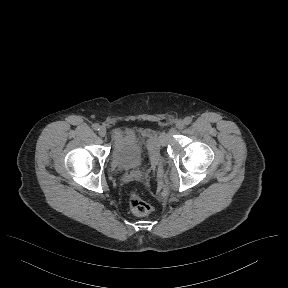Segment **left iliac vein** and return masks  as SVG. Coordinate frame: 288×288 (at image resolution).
Returning <instances> with one entry per match:
<instances>
[{"label": "left iliac vein", "instance_id": "obj_1", "mask_svg": "<svg viewBox=\"0 0 288 288\" xmlns=\"http://www.w3.org/2000/svg\"><path fill=\"white\" fill-rule=\"evenodd\" d=\"M184 127H185V123H184L183 120H178V121L176 122V128H177V129L181 130V129H183Z\"/></svg>", "mask_w": 288, "mask_h": 288}]
</instances>
